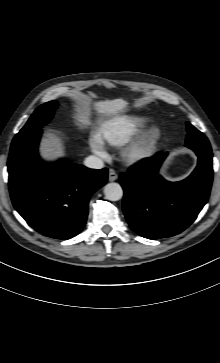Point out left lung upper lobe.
Here are the masks:
<instances>
[{"instance_id":"left-lung-upper-lobe-1","label":"left lung upper lobe","mask_w":220,"mask_h":363,"mask_svg":"<svg viewBox=\"0 0 220 363\" xmlns=\"http://www.w3.org/2000/svg\"><path fill=\"white\" fill-rule=\"evenodd\" d=\"M187 132L186 143L209 144L206 136L190 123H187Z\"/></svg>"}]
</instances>
